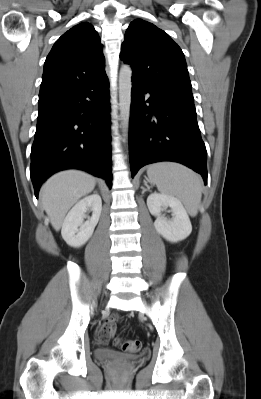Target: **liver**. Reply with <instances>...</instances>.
<instances>
[{
	"mask_svg": "<svg viewBox=\"0 0 261 399\" xmlns=\"http://www.w3.org/2000/svg\"><path fill=\"white\" fill-rule=\"evenodd\" d=\"M95 178L78 170L53 175L41 188V202L51 225L60 230L69 209L83 196L92 192Z\"/></svg>",
	"mask_w": 261,
	"mask_h": 399,
	"instance_id": "obj_1",
	"label": "liver"
}]
</instances>
